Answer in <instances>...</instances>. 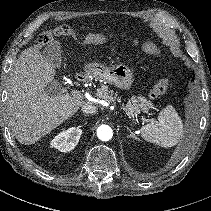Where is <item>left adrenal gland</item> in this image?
<instances>
[{"mask_svg":"<svg viewBox=\"0 0 211 211\" xmlns=\"http://www.w3.org/2000/svg\"><path fill=\"white\" fill-rule=\"evenodd\" d=\"M127 130L130 132V135H128L127 137H130V138H134V139H139L138 137H136L133 132L130 130L129 127H127Z\"/></svg>","mask_w":211,"mask_h":211,"instance_id":"left-adrenal-gland-1","label":"left adrenal gland"}]
</instances>
